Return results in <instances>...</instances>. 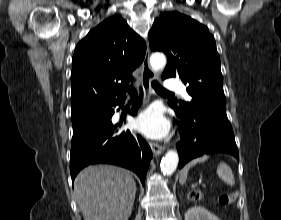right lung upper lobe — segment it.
<instances>
[{"mask_svg":"<svg viewBox=\"0 0 281 220\" xmlns=\"http://www.w3.org/2000/svg\"><path fill=\"white\" fill-rule=\"evenodd\" d=\"M146 53L144 40L119 16L92 29L76 46L72 61V120L125 98L132 72Z\"/></svg>","mask_w":281,"mask_h":220,"instance_id":"right-lung-upper-lobe-1","label":"right lung upper lobe"}]
</instances>
